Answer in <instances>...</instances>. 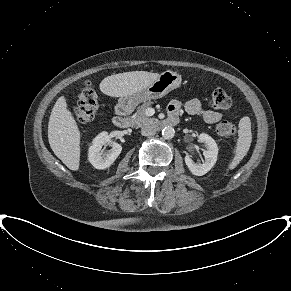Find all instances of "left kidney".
<instances>
[{
	"mask_svg": "<svg viewBox=\"0 0 291 291\" xmlns=\"http://www.w3.org/2000/svg\"><path fill=\"white\" fill-rule=\"evenodd\" d=\"M198 141L204 143L206 146V150L203 151L205 162L202 164H195L190 155H186L185 163L193 175L202 176L210 171L215 165L218 155V146L214 139L206 133H201Z\"/></svg>",
	"mask_w": 291,
	"mask_h": 291,
	"instance_id": "5707ae66",
	"label": "left kidney"
}]
</instances>
